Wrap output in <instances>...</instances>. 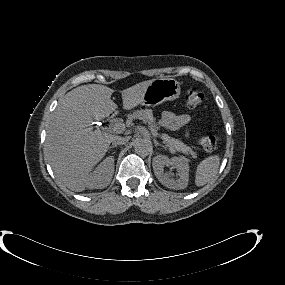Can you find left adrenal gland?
Here are the masks:
<instances>
[{
	"label": "left adrenal gland",
	"instance_id": "left-adrenal-gland-1",
	"mask_svg": "<svg viewBox=\"0 0 285 285\" xmlns=\"http://www.w3.org/2000/svg\"><path fill=\"white\" fill-rule=\"evenodd\" d=\"M154 144H155V146H161V147H164L163 145H161L160 143H158L156 140H154Z\"/></svg>",
	"mask_w": 285,
	"mask_h": 285
}]
</instances>
